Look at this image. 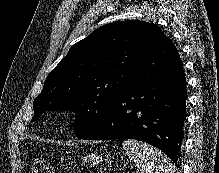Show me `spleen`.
I'll list each match as a JSON object with an SVG mask.
<instances>
[{"label": "spleen", "instance_id": "1", "mask_svg": "<svg viewBox=\"0 0 219 173\" xmlns=\"http://www.w3.org/2000/svg\"><path fill=\"white\" fill-rule=\"evenodd\" d=\"M123 148L139 173H175V166L170 159L153 146L127 139Z\"/></svg>", "mask_w": 219, "mask_h": 173}]
</instances>
